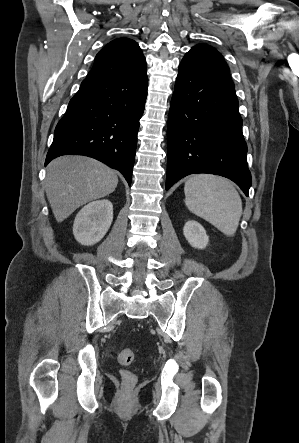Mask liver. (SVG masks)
Wrapping results in <instances>:
<instances>
[{
  "mask_svg": "<svg viewBox=\"0 0 299 443\" xmlns=\"http://www.w3.org/2000/svg\"><path fill=\"white\" fill-rule=\"evenodd\" d=\"M118 184L114 170L86 156L66 155L47 166L45 191L57 222L77 208L111 194Z\"/></svg>",
  "mask_w": 299,
  "mask_h": 443,
  "instance_id": "6515ba94",
  "label": "liver"
}]
</instances>
